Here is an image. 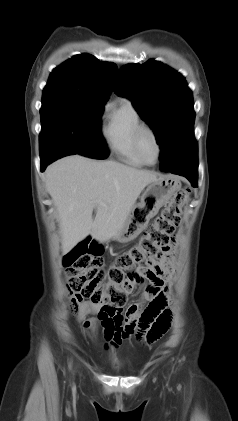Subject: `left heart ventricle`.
Segmentation results:
<instances>
[{"mask_svg":"<svg viewBox=\"0 0 238 421\" xmlns=\"http://www.w3.org/2000/svg\"><path fill=\"white\" fill-rule=\"evenodd\" d=\"M142 147L147 159L153 162L156 157V146L149 135L143 137Z\"/></svg>","mask_w":238,"mask_h":421,"instance_id":"b2bd125f","label":"left heart ventricle"}]
</instances>
